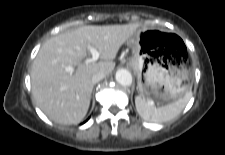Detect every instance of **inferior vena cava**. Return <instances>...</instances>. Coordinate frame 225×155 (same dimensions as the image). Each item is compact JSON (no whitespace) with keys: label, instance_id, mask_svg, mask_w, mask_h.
Listing matches in <instances>:
<instances>
[{"label":"inferior vena cava","instance_id":"602c4592","mask_svg":"<svg viewBox=\"0 0 225 155\" xmlns=\"http://www.w3.org/2000/svg\"><path fill=\"white\" fill-rule=\"evenodd\" d=\"M105 76L106 75L103 72H98L92 76L91 81L93 84H96V83L100 82L102 79H104Z\"/></svg>","mask_w":225,"mask_h":155}]
</instances>
